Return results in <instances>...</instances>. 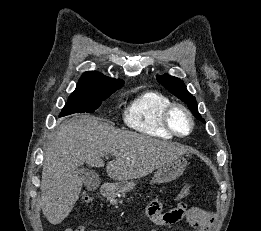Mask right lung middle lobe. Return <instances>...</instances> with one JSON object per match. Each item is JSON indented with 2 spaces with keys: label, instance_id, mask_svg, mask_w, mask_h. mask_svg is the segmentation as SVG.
<instances>
[{
  "label": "right lung middle lobe",
  "instance_id": "obj_1",
  "mask_svg": "<svg viewBox=\"0 0 261 231\" xmlns=\"http://www.w3.org/2000/svg\"><path fill=\"white\" fill-rule=\"evenodd\" d=\"M113 92L102 94H71L65 104L61 116L73 113H93Z\"/></svg>",
  "mask_w": 261,
  "mask_h": 231
}]
</instances>
